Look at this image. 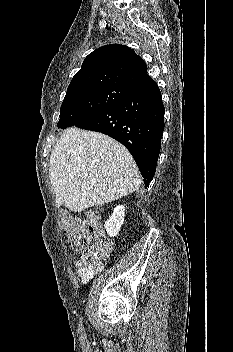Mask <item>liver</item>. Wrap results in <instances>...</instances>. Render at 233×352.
I'll return each mask as SVG.
<instances>
[{
  "label": "liver",
  "mask_w": 233,
  "mask_h": 352,
  "mask_svg": "<svg viewBox=\"0 0 233 352\" xmlns=\"http://www.w3.org/2000/svg\"><path fill=\"white\" fill-rule=\"evenodd\" d=\"M56 205L81 212L138 190L141 177L129 151L99 132L66 129L50 155Z\"/></svg>",
  "instance_id": "6515ba94"
}]
</instances>
